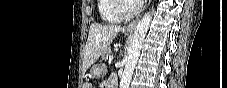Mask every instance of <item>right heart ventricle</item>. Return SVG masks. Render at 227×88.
Instances as JSON below:
<instances>
[{"instance_id": "right-heart-ventricle-1", "label": "right heart ventricle", "mask_w": 227, "mask_h": 88, "mask_svg": "<svg viewBox=\"0 0 227 88\" xmlns=\"http://www.w3.org/2000/svg\"><path fill=\"white\" fill-rule=\"evenodd\" d=\"M114 0H97L98 12L103 21L117 23L120 19L113 13L111 9Z\"/></svg>"}]
</instances>
